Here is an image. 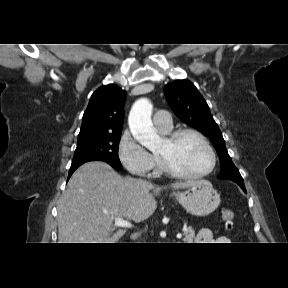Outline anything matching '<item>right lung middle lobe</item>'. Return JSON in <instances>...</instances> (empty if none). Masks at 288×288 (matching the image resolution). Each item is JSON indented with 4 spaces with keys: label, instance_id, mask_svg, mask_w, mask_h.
<instances>
[{
    "label": "right lung middle lobe",
    "instance_id": "obj_1",
    "mask_svg": "<svg viewBox=\"0 0 288 288\" xmlns=\"http://www.w3.org/2000/svg\"><path fill=\"white\" fill-rule=\"evenodd\" d=\"M120 135L121 132L78 140L71 166L99 160L122 170L123 167L118 157Z\"/></svg>",
    "mask_w": 288,
    "mask_h": 288
}]
</instances>
